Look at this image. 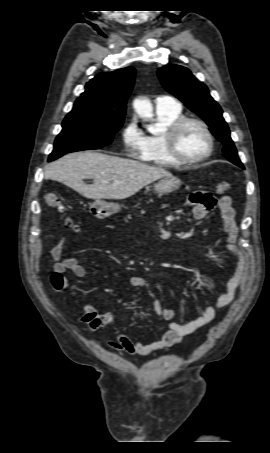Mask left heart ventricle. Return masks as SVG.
Instances as JSON below:
<instances>
[{"instance_id": "obj_1", "label": "left heart ventricle", "mask_w": 270, "mask_h": 453, "mask_svg": "<svg viewBox=\"0 0 270 453\" xmlns=\"http://www.w3.org/2000/svg\"><path fill=\"white\" fill-rule=\"evenodd\" d=\"M177 145L179 153L184 157L197 158L206 152L208 141L198 125L188 124L180 132Z\"/></svg>"}]
</instances>
